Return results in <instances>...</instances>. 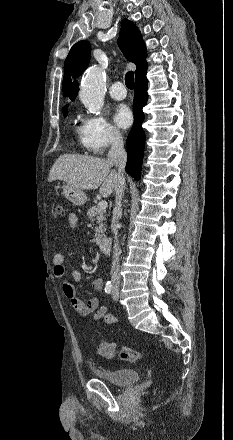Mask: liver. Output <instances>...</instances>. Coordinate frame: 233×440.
Returning <instances> with one entry per match:
<instances>
[{
  "label": "liver",
  "mask_w": 233,
  "mask_h": 440,
  "mask_svg": "<svg viewBox=\"0 0 233 440\" xmlns=\"http://www.w3.org/2000/svg\"><path fill=\"white\" fill-rule=\"evenodd\" d=\"M112 164L105 158L64 154L50 170L48 181L62 180L80 190L99 189V193L108 197L115 189L117 173L110 171Z\"/></svg>",
  "instance_id": "obj_1"
}]
</instances>
